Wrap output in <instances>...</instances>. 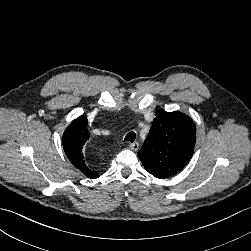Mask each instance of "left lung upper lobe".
Instances as JSON below:
<instances>
[{
  "label": "left lung upper lobe",
  "mask_w": 251,
  "mask_h": 251,
  "mask_svg": "<svg viewBox=\"0 0 251 251\" xmlns=\"http://www.w3.org/2000/svg\"><path fill=\"white\" fill-rule=\"evenodd\" d=\"M138 157L148 172L173 175L190 160L196 141L193 120L179 111L158 109Z\"/></svg>",
  "instance_id": "left-lung-upper-lobe-1"
}]
</instances>
